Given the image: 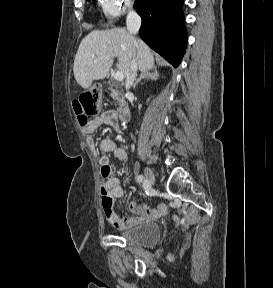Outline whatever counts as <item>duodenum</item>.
<instances>
[{"mask_svg": "<svg viewBox=\"0 0 273 288\" xmlns=\"http://www.w3.org/2000/svg\"><path fill=\"white\" fill-rule=\"evenodd\" d=\"M118 117L121 122H128L131 118L130 111L127 105L121 104L118 109Z\"/></svg>", "mask_w": 273, "mask_h": 288, "instance_id": "1", "label": "duodenum"}]
</instances>
